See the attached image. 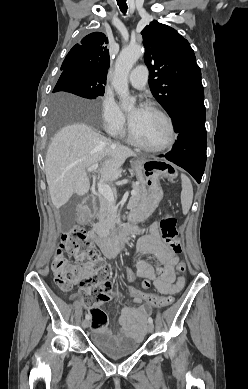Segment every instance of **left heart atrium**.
Masks as SVG:
<instances>
[{
	"label": "left heart atrium",
	"mask_w": 248,
	"mask_h": 389,
	"mask_svg": "<svg viewBox=\"0 0 248 389\" xmlns=\"http://www.w3.org/2000/svg\"><path fill=\"white\" fill-rule=\"evenodd\" d=\"M140 109H141V107H138V108H137V110H140Z\"/></svg>",
	"instance_id": "left-heart-atrium-1"
}]
</instances>
